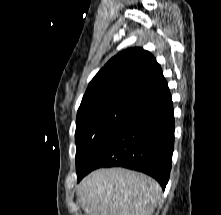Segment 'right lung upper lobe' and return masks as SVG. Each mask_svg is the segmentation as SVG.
I'll return each instance as SVG.
<instances>
[{
    "label": "right lung upper lobe",
    "instance_id": "1",
    "mask_svg": "<svg viewBox=\"0 0 221 215\" xmlns=\"http://www.w3.org/2000/svg\"><path fill=\"white\" fill-rule=\"evenodd\" d=\"M168 89L162 69L152 54L142 48L118 53L89 83L81 105L119 101L133 106Z\"/></svg>",
    "mask_w": 221,
    "mask_h": 215
}]
</instances>
